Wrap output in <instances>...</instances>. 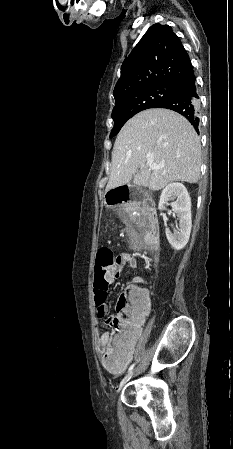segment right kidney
<instances>
[{
	"label": "right kidney",
	"mask_w": 233,
	"mask_h": 449,
	"mask_svg": "<svg viewBox=\"0 0 233 449\" xmlns=\"http://www.w3.org/2000/svg\"><path fill=\"white\" fill-rule=\"evenodd\" d=\"M172 211L177 214L179 220V230L172 233L169 228H166L165 233L167 240L175 250L183 249L188 243L192 220H191V199L186 187L181 183H171L167 185L160 196L159 210H166L165 204L169 201Z\"/></svg>",
	"instance_id": "obj_1"
}]
</instances>
